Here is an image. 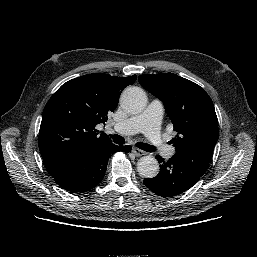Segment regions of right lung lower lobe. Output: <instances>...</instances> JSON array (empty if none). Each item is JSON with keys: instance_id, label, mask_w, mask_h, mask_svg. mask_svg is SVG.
<instances>
[{"instance_id": "1", "label": "right lung lower lobe", "mask_w": 257, "mask_h": 257, "mask_svg": "<svg viewBox=\"0 0 257 257\" xmlns=\"http://www.w3.org/2000/svg\"><path fill=\"white\" fill-rule=\"evenodd\" d=\"M131 146L110 144L102 149L79 157L51 175L58 185L70 192H87L103 179L108 160L116 151L131 152Z\"/></svg>"}]
</instances>
